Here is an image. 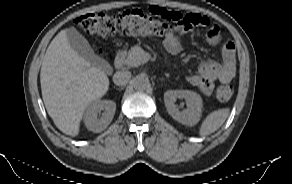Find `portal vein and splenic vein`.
Here are the masks:
<instances>
[{"mask_svg":"<svg viewBox=\"0 0 292 184\" xmlns=\"http://www.w3.org/2000/svg\"><path fill=\"white\" fill-rule=\"evenodd\" d=\"M147 60H148V58H147V57H144V63H145Z\"/></svg>","mask_w":292,"mask_h":184,"instance_id":"18ae733b","label":"portal vein and splenic vein"}]
</instances>
